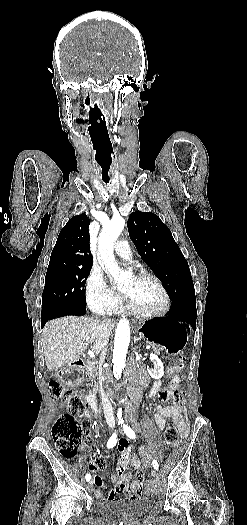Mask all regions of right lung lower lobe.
<instances>
[{"label": "right lung lower lobe", "mask_w": 247, "mask_h": 525, "mask_svg": "<svg viewBox=\"0 0 247 525\" xmlns=\"http://www.w3.org/2000/svg\"><path fill=\"white\" fill-rule=\"evenodd\" d=\"M56 312H57V314H61L60 316H63V315H83L86 312V306L83 307V308H63V309L56 310ZM47 321H48L47 319H42L41 318L42 328H43V326L45 325V323Z\"/></svg>", "instance_id": "right-lung-lower-lobe-1"}]
</instances>
